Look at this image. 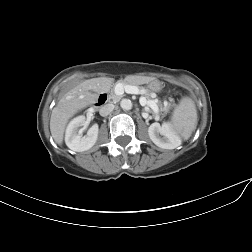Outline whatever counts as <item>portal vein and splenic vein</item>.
Listing matches in <instances>:
<instances>
[{"label": "portal vein and splenic vein", "instance_id": "obj_1", "mask_svg": "<svg viewBox=\"0 0 252 252\" xmlns=\"http://www.w3.org/2000/svg\"><path fill=\"white\" fill-rule=\"evenodd\" d=\"M115 90L119 94H123L124 91L128 94H139V89L136 86L126 85L123 87V85L118 84L116 85ZM139 101L141 105L144 106L147 104L148 106H151L153 108L155 113H158L159 108L156 104L150 103V101H147L144 97H141Z\"/></svg>", "mask_w": 252, "mask_h": 252}]
</instances>
